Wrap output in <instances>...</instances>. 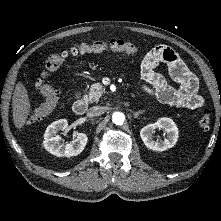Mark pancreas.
I'll return each instance as SVG.
<instances>
[{
  "instance_id": "pancreas-1",
  "label": "pancreas",
  "mask_w": 221,
  "mask_h": 221,
  "mask_svg": "<svg viewBox=\"0 0 221 221\" xmlns=\"http://www.w3.org/2000/svg\"><path fill=\"white\" fill-rule=\"evenodd\" d=\"M103 93V85L101 83H95L89 87V92L84 96V99L88 102H95L101 98Z\"/></svg>"
}]
</instances>
